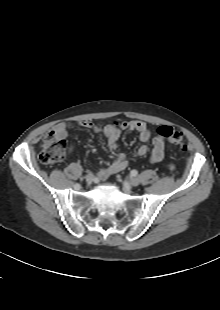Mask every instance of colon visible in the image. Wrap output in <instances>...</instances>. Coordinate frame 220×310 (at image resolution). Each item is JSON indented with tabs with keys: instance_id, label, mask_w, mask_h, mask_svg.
I'll return each mask as SVG.
<instances>
[{
	"instance_id": "colon-1",
	"label": "colon",
	"mask_w": 220,
	"mask_h": 310,
	"mask_svg": "<svg viewBox=\"0 0 220 310\" xmlns=\"http://www.w3.org/2000/svg\"><path fill=\"white\" fill-rule=\"evenodd\" d=\"M157 134L170 143L182 146L184 137L180 130L171 126H160ZM66 156V148L63 139L54 131L47 133L44 137L40 158L44 163L54 164L61 162Z\"/></svg>"
}]
</instances>
